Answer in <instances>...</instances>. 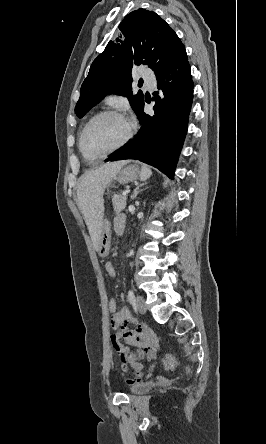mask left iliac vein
I'll return each mask as SVG.
<instances>
[{
    "label": "left iliac vein",
    "instance_id": "obj_1",
    "mask_svg": "<svg viewBox=\"0 0 266 444\" xmlns=\"http://www.w3.org/2000/svg\"><path fill=\"white\" fill-rule=\"evenodd\" d=\"M136 309L141 314H144L146 312V305H145L144 298L142 296H140V295H138L136 297Z\"/></svg>",
    "mask_w": 266,
    "mask_h": 444
}]
</instances>
